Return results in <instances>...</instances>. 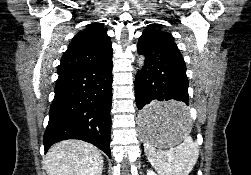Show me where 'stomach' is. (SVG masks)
I'll list each match as a JSON object with an SVG mask.
<instances>
[{"instance_id": "1", "label": "stomach", "mask_w": 251, "mask_h": 175, "mask_svg": "<svg viewBox=\"0 0 251 175\" xmlns=\"http://www.w3.org/2000/svg\"><path fill=\"white\" fill-rule=\"evenodd\" d=\"M178 105H182V100H155V105L145 106L139 117L142 140L153 141L156 148H169L182 141V134H196V129H179L194 128V123H190L188 114H181V111H190V106Z\"/></svg>"}]
</instances>
